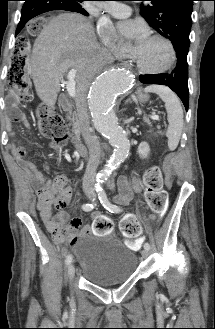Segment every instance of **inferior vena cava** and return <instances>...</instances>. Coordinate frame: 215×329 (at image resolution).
<instances>
[{
	"instance_id": "inferior-vena-cava-1",
	"label": "inferior vena cava",
	"mask_w": 215,
	"mask_h": 329,
	"mask_svg": "<svg viewBox=\"0 0 215 329\" xmlns=\"http://www.w3.org/2000/svg\"><path fill=\"white\" fill-rule=\"evenodd\" d=\"M111 56L107 49L100 50V61L110 60ZM76 108L80 121L81 133L89 149V160L83 179V185L92 184L96 175V170L100 158V143L90 128L87 112V88L78 92L76 97Z\"/></svg>"
}]
</instances>
